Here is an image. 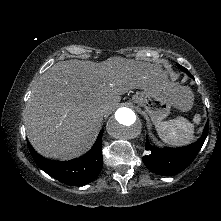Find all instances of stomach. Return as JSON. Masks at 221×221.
I'll return each instance as SVG.
<instances>
[{
  "instance_id": "0dacf381",
  "label": "stomach",
  "mask_w": 221,
  "mask_h": 221,
  "mask_svg": "<svg viewBox=\"0 0 221 221\" xmlns=\"http://www.w3.org/2000/svg\"><path fill=\"white\" fill-rule=\"evenodd\" d=\"M132 101L138 106L144 107L151 120L158 123L169 115L174 101L179 103L180 110L187 111L192 105L193 98L189 89L167 82L166 94L153 90H142L133 95Z\"/></svg>"
}]
</instances>
